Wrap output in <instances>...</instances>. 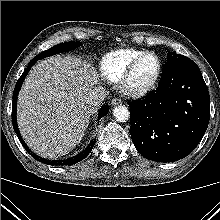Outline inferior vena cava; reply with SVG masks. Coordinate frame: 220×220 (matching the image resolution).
<instances>
[{"label": "inferior vena cava", "mask_w": 220, "mask_h": 220, "mask_svg": "<svg viewBox=\"0 0 220 220\" xmlns=\"http://www.w3.org/2000/svg\"><path fill=\"white\" fill-rule=\"evenodd\" d=\"M106 95L105 88L99 86L91 91L88 102L93 106H98L106 98Z\"/></svg>", "instance_id": "1"}]
</instances>
